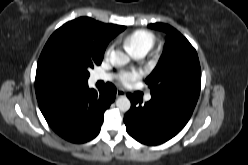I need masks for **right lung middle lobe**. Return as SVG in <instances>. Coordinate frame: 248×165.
I'll return each instance as SVG.
<instances>
[{
	"label": "right lung middle lobe",
	"instance_id": "right-lung-middle-lobe-1",
	"mask_svg": "<svg viewBox=\"0 0 248 165\" xmlns=\"http://www.w3.org/2000/svg\"><path fill=\"white\" fill-rule=\"evenodd\" d=\"M103 56L81 39L55 31L43 48L38 65L64 82L87 84L88 69L100 65Z\"/></svg>",
	"mask_w": 248,
	"mask_h": 165
}]
</instances>
